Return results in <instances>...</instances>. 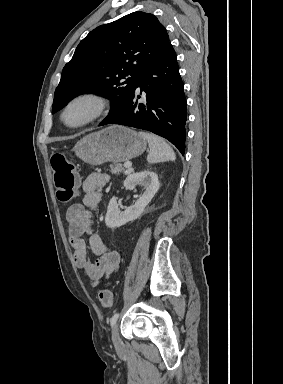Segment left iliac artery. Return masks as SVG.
Returning a JSON list of instances; mask_svg holds the SVG:
<instances>
[{
    "label": "left iliac artery",
    "instance_id": "1",
    "mask_svg": "<svg viewBox=\"0 0 283 384\" xmlns=\"http://www.w3.org/2000/svg\"><path fill=\"white\" fill-rule=\"evenodd\" d=\"M118 317H119V313H115V314L111 317V319H110V324H111V326H114V325H115V323H116Z\"/></svg>",
    "mask_w": 283,
    "mask_h": 384
}]
</instances>
